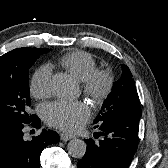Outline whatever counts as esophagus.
<instances>
[{
    "instance_id": "obj_1",
    "label": "esophagus",
    "mask_w": 168,
    "mask_h": 168,
    "mask_svg": "<svg viewBox=\"0 0 168 168\" xmlns=\"http://www.w3.org/2000/svg\"><path fill=\"white\" fill-rule=\"evenodd\" d=\"M74 136L70 135V134H66V133H61L60 134V139L62 141H69L70 139H73Z\"/></svg>"
}]
</instances>
